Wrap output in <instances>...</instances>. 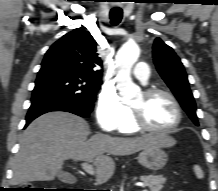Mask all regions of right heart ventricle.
I'll use <instances>...</instances> for the list:
<instances>
[{
  "mask_svg": "<svg viewBox=\"0 0 218 191\" xmlns=\"http://www.w3.org/2000/svg\"><path fill=\"white\" fill-rule=\"evenodd\" d=\"M119 131L122 133H135L137 131L132 121L131 111L128 120L122 124V126L119 128Z\"/></svg>",
  "mask_w": 218,
  "mask_h": 191,
  "instance_id": "e07e8e85",
  "label": "right heart ventricle"
}]
</instances>
